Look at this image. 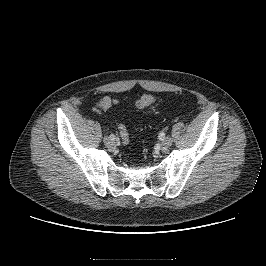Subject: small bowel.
I'll return each instance as SVG.
<instances>
[{
	"instance_id": "c3829d8e",
	"label": "small bowel",
	"mask_w": 266,
	"mask_h": 266,
	"mask_svg": "<svg viewBox=\"0 0 266 266\" xmlns=\"http://www.w3.org/2000/svg\"><path fill=\"white\" fill-rule=\"evenodd\" d=\"M116 103H117L116 99L111 98V97H104L99 101L98 106L102 110H107L113 105H115Z\"/></svg>"
}]
</instances>
